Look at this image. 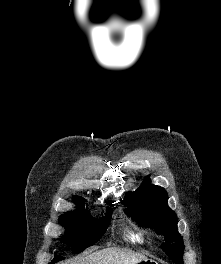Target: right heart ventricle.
<instances>
[{
  "label": "right heart ventricle",
  "mask_w": 221,
  "mask_h": 264,
  "mask_svg": "<svg viewBox=\"0 0 221 264\" xmlns=\"http://www.w3.org/2000/svg\"><path fill=\"white\" fill-rule=\"evenodd\" d=\"M128 236L132 241H136V242H143L144 241V238L140 233L130 232Z\"/></svg>",
  "instance_id": "right-heart-ventricle-1"
}]
</instances>
